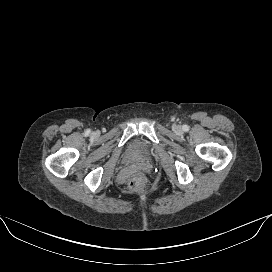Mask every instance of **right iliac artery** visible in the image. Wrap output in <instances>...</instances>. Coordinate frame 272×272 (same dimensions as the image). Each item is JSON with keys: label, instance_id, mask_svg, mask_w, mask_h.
<instances>
[{"label": "right iliac artery", "instance_id": "82829eb1", "mask_svg": "<svg viewBox=\"0 0 272 272\" xmlns=\"http://www.w3.org/2000/svg\"><path fill=\"white\" fill-rule=\"evenodd\" d=\"M85 133H86V135L90 134V130H87Z\"/></svg>", "mask_w": 272, "mask_h": 272}]
</instances>
